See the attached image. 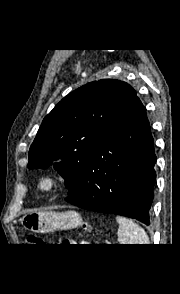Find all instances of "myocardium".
Returning <instances> with one entry per match:
<instances>
[{"instance_id": "1", "label": "myocardium", "mask_w": 180, "mask_h": 294, "mask_svg": "<svg viewBox=\"0 0 180 294\" xmlns=\"http://www.w3.org/2000/svg\"><path fill=\"white\" fill-rule=\"evenodd\" d=\"M60 186V178L55 173H45L41 175L35 184L36 189L44 194L50 193Z\"/></svg>"}]
</instances>
